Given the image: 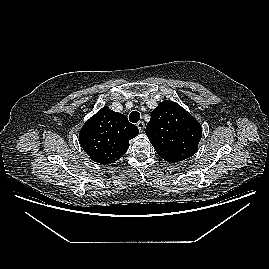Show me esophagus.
<instances>
[{"instance_id":"1","label":"esophagus","mask_w":269,"mask_h":269,"mask_svg":"<svg viewBox=\"0 0 269 269\" xmlns=\"http://www.w3.org/2000/svg\"><path fill=\"white\" fill-rule=\"evenodd\" d=\"M136 125H137V127H138V129H139L140 132H143L144 131V128H145L144 122L139 121Z\"/></svg>"}]
</instances>
